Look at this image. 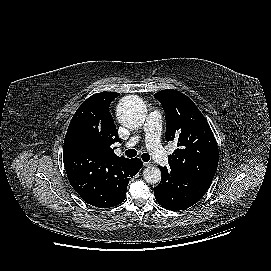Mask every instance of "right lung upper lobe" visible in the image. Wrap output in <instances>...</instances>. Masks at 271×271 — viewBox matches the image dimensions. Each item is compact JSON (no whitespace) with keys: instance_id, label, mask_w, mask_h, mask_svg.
<instances>
[{"instance_id":"obj_1","label":"right lung upper lobe","mask_w":271,"mask_h":271,"mask_svg":"<svg viewBox=\"0 0 271 271\" xmlns=\"http://www.w3.org/2000/svg\"><path fill=\"white\" fill-rule=\"evenodd\" d=\"M118 96L115 92L96 93L81 104L68 126L64 151H82L111 160L127 159L117 156L111 148L113 143L121 142L109 112L111 102Z\"/></svg>"}]
</instances>
